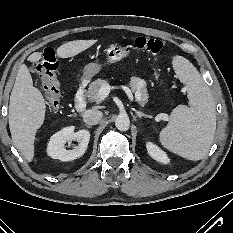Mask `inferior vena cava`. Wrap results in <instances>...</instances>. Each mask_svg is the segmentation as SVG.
<instances>
[{
  "instance_id": "inferior-vena-cava-1",
  "label": "inferior vena cava",
  "mask_w": 233,
  "mask_h": 233,
  "mask_svg": "<svg viewBox=\"0 0 233 233\" xmlns=\"http://www.w3.org/2000/svg\"><path fill=\"white\" fill-rule=\"evenodd\" d=\"M102 118V112L95 109L86 110L83 113V120L88 125H96Z\"/></svg>"
}]
</instances>
